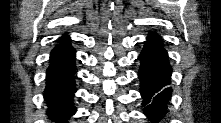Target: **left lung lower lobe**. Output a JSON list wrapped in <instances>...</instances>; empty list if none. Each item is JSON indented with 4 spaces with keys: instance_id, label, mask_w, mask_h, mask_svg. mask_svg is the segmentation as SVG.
Returning a JSON list of instances; mask_svg holds the SVG:
<instances>
[{
    "instance_id": "left-lung-lower-lobe-1",
    "label": "left lung lower lobe",
    "mask_w": 221,
    "mask_h": 123,
    "mask_svg": "<svg viewBox=\"0 0 221 123\" xmlns=\"http://www.w3.org/2000/svg\"><path fill=\"white\" fill-rule=\"evenodd\" d=\"M138 59L143 111L148 118L155 119L157 115L165 112L172 93L168 87L171 83L172 67L162 37L155 32L150 33Z\"/></svg>"
}]
</instances>
